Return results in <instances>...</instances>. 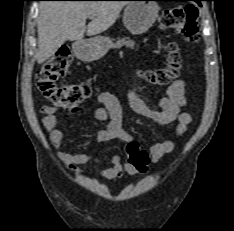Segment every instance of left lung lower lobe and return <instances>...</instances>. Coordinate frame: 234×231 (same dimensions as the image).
<instances>
[{
	"label": "left lung lower lobe",
	"instance_id": "0a47b994",
	"mask_svg": "<svg viewBox=\"0 0 234 231\" xmlns=\"http://www.w3.org/2000/svg\"><path fill=\"white\" fill-rule=\"evenodd\" d=\"M187 1H195V2H197L200 5L201 1H204V0H187Z\"/></svg>",
	"mask_w": 234,
	"mask_h": 231
}]
</instances>
